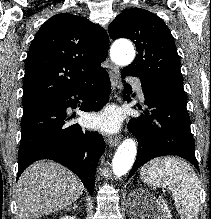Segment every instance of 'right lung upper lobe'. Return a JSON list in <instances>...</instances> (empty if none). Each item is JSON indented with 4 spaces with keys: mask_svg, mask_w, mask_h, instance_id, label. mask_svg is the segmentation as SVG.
Listing matches in <instances>:
<instances>
[{
    "mask_svg": "<svg viewBox=\"0 0 211 219\" xmlns=\"http://www.w3.org/2000/svg\"><path fill=\"white\" fill-rule=\"evenodd\" d=\"M109 38L85 17L60 13L34 37L25 62L22 105L56 99L105 69Z\"/></svg>",
    "mask_w": 211,
    "mask_h": 219,
    "instance_id": "1",
    "label": "right lung upper lobe"
}]
</instances>
